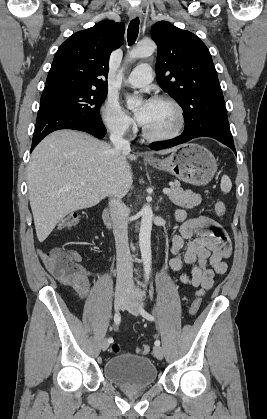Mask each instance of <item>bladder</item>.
<instances>
[{
    "instance_id": "1",
    "label": "bladder",
    "mask_w": 267,
    "mask_h": 419,
    "mask_svg": "<svg viewBox=\"0 0 267 419\" xmlns=\"http://www.w3.org/2000/svg\"><path fill=\"white\" fill-rule=\"evenodd\" d=\"M103 374L107 380L128 388L146 387L157 379V369L150 358L128 353L110 357Z\"/></svg>"
}]
</instances>
